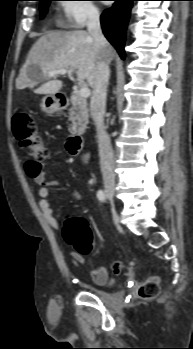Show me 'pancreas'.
I'll list each match as a JSON object with an SVG mask.
<instances>
[{
	"label": "pancreas",
	"instance_id": "1",
	"mask_svg": "<svg viewBox=\"0 0 193 349\" xmlns=\"http://www.w3.org/2000/svg\"><path fill=\"white\" fill-rule=\"evenodd\" d=\"M72 106L69 109V120L72 122V133H83L89 123L87 101L79 93L71 96Z\"/></svg>",
	"mask_w": 193,
	"mask_h": 349
}]
</instances>
